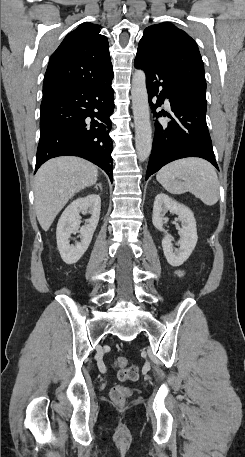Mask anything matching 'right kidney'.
Listing matches in <instances>:
<instances>
[{"mask_svg": "<svg viewBox=\"0 0 245 457\" xmlns=\"http://www.w3.org/2000/svg\"><path fill=\"white\" fill-rule=\"evenodd\" d=\"M100 210L101 198L99 194H87L83 198L73 200L62 212L56 229L57 247L59 251L67 253L70 265L77 263L87 251L98 224ZM80 212L91 214L90 218H86L83 226H80V222H82ZM72 233H80L81 243L70 245Z\"/></svg>", "mask_w": 245, "mask_h": 457, "instance_id": "obj_1", "label": "right kidney"}]
</instances>
